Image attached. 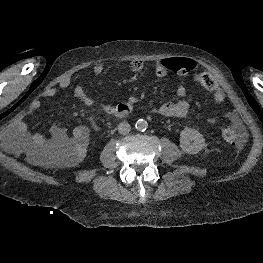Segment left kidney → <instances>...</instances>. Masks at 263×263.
I'll list each match as a JSON object with an SVG mask.
<instances>
[{"instance_id":"1","label":"left kidney","mask_w":263,"mask_h":263,"mask_svg":"<svg viewBox=\"0 0 263 263\" xmlns=\"http://www.w3.org/2000/svg\"><path fill=\"white\" fill-rule=\"evenodd\" d=\"M206 146L205 139L198 130L185 128L181 131L180 148L183 152L187 154H197Z\"/></svg>"}]
</instances>
